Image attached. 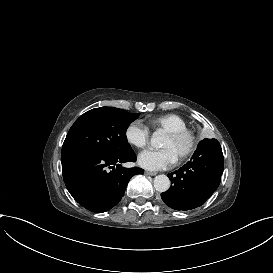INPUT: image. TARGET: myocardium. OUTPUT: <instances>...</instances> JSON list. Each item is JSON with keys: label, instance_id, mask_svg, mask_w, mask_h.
<instances>
[{"label": "myocardium", "instance_id": "myocardium-1", "mask_svg": "<svg viewBox=\"0 0 273 273\" xmlns=\"http://www.w3.org/2000/svg\"><path fill=\"white\" fill-rule=\"evenodd\" d=\"M165 136L169 138H182L185 137L188 140V145L185 151L180 155V157L177 159L178 161L182 162L189 158L196 150L197 147V134L195 131L185 128L180 130H174V131H167L164 134Z\"/></svg>", "mask_w": 273, "mask_h": 273}]
</instances>
